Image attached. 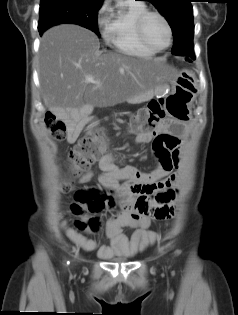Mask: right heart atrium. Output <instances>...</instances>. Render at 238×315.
Here are the masks:
<instances>
[{
  "label": "right heart atrium",
  "instance_id": "right-heart-atrium-1",
  "mask_svg": "<svg viewBox=\"0 0 238 315\" xmlns=\"http://www.w3.org/2000/svg\"><path fill=\"white\" fill-rule=\"evenodd\" d=\"M106 11H107V6L106 4H103L99 10H98V13H97V21L98 23H102L104 21V16L106 14Z\"/></svg>",
  "mask_w": 238,
  "mask_h": 315
}]
</instances>
